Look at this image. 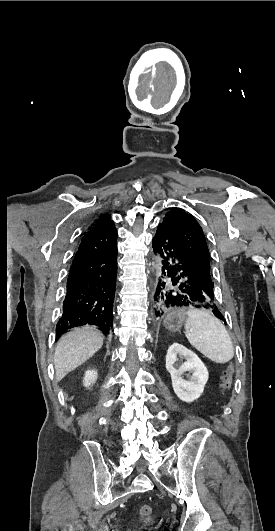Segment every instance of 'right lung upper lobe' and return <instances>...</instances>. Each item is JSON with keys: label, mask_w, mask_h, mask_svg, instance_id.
Listing matches in <instances>:
<instances>
[{"label": "right lung upper lobe", "mask_w": 275, "mask_h": 531, "mask_svg": "<svg viewBox=\"0 0 275 531\" xmlns=\"http://www.w3.org/2000/svg\"><path fill=\"white\" fill-rule=\"evenodd\" d=\"M115 228L114 222L109 218L107 215L101 216L100 219H98L95 223H93L88 230L84 233L87 234L90 231L97 230V229H113Z\"/></svg>", "instance_id": "cb5924a9"}]
</instances>
